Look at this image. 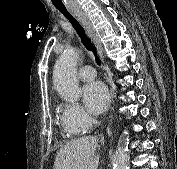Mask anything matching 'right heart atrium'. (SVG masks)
Listing matches in <instances>:
<instances>
[{
	"mask_svg": "<svg viewBox=\"0 0 177 169\" xmlns=\"http://www.w3.org/2000/svg\"><path fill=\"white\" fill-rule=\"evenodd\" d=\"M61 120L68 130L85 131L94 123V119L76 103L62 105Z\"/></svg>",
	"mask_w": 177,
	"mask_h": 169,
	"instance_id": "obj_1",
	"label": "right heart atrium"
}]
</instances>
